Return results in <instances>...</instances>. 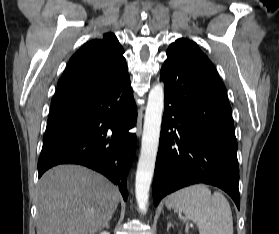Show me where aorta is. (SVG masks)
<instances>
[{
  "label": "aorta",
  "instance_id": "obj_1",
  "mask_svg": "<svg viewBox=\"0 0 279 234\" xmlns=\"http://www.w3.org/2000/svg\"><path fill=\"white\" fill-rule=\"evenodd\" d=\"M164 108V87L155 84L148 95L144 116L141 152L136 171L135 194L139 209L145 213L148 206L149 190L154 174L159 146L160 128Z\"/></svg>",
  "mask_w": 279,
  "mask_h": 234
}]
</instances>
